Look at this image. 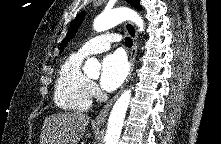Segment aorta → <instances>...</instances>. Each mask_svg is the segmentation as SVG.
I'll return each mask as SVG.
<instances>
[{"label":"aorta","mask_w":221,"mask_h":144,"mask_svg":"<svg viewBox=\"0 0 221 144\" xmlns=\"http://www.w3.org/2000/svg\"><path fill=\"white\" fill-rule=\"evenodd\" d=\"M125 20L135 23L139 31H143L144 22L133 10L128 8H115L111 11H104L97 16L93 23L96 32L106 31ZM101 65L96 58H88L84 64L83 71L89 76H99ZM131 99V90H125L115 102L107 124L105 144H118L122 131L123 121Z\"/></svg>","instance_id":"1"}]
</instances>
